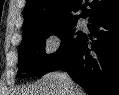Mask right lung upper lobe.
<instances>
[{
  "mask_svg": "<svg viewBox=\"0 0 119 95\" xmlns=\"http://www.w3.org/2000/svg\"><path fill=\"white\" fill-rule=\"evenodd\" d=\"M86 6L90 8L86 9ZM79 10L82 14L76 15ZM118 11L119 0H27L23 34L38 26L77 22L79 18L94 22Z\"/></svg>",
  "mask_w": 119,
  "mask_h": 95,
  "instance_id": "1",
  "label": "right lung upper lobe"
}]
</instances>
